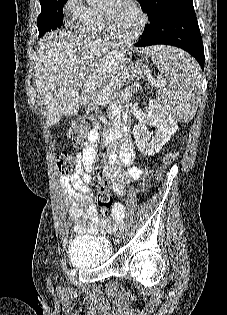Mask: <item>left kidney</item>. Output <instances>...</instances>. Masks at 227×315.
Here are the masks:
<instances>
[{"instance_id":"left-kidney-1","label":"left kidney","mask_w":227,"mask_h":315,"mask_svg":"<svg viewBox=\"0 0 227 315\" xmlns=\"http://www.w3.org/2000/svg\"><path fill=\"white\" fill-rule=\"evenodd\" d=\"M147 119L155 128L154 135L146 132L145 125H136L133 129L135 143L145 156H153L170 140L178 130L175 120L154 99H149Z\"/></svg>"}]
</instances>
